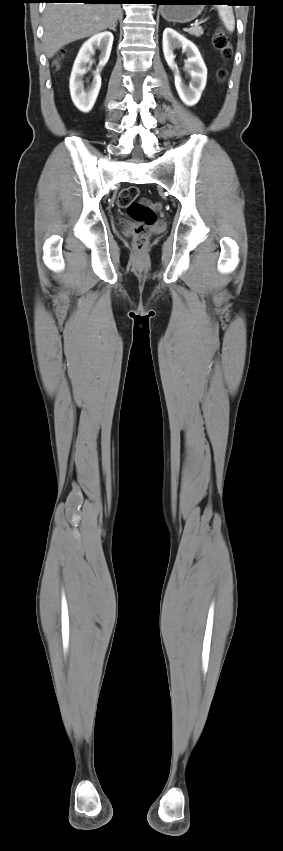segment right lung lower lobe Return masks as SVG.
<instances>
[{
  "label": "right lung lower lobe",
  "instance_id": "1",
  "mask_svg": "<svg viewBox=\"0 0 283 851\" xmlns=\"http://www.w3.org/2000/svg\"><path fill=\"white\" fill-rule=\"evenodd\" d=\"M44 2H48V3L76 2V3H90V4H123V3H129L130 0H44Z\"/></svg>",
  "mask_w": 283,
  "mask_h": 851
}]
</instances>
